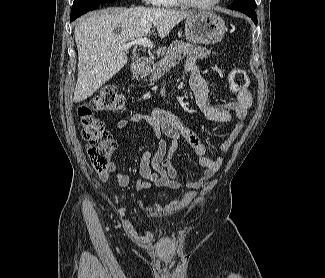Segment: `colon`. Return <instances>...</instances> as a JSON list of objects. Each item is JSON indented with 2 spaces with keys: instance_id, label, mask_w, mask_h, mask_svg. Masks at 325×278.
Instances as JSON below:
<instances>
[{
  "instance_id": "5ec220e1",
  "label": "colon",
  "mask_w": 325,
  "mask_h": 278,
  "mask_svg": "<svg viewBox=\"0 0 325 278\" xmlns=\"http://www.w3.org/2000/svg\"><path fill=\"white\" fill-rule=\"evenodd\" d=\"M229 82L232 90L237 93L248 85V75L241 68H232L229 72ZM124 105V95L115 86H107L77 109L82 137L87 142V153L96 171L103 172L107 169L116 148L111 133L97 118V113L118 112Z\"/></svg>"
}]
</instances>
